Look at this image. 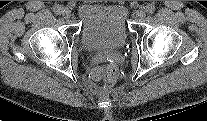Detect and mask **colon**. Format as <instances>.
<instances>
[{"label": "colon", "mask_w": 207, "mask_h": 121, "mask_svg": "<svg viewBox=\"0 0 207 121\" xmlns=\"http://www.w3.org/2000/svg\"><path fill=\"white\" fill-rule=\"evenodd\" d=\"M96 73L103 75L109 81H114L118 76V69L114 65H107L97 70Z\"/></svg>", "instance_id": "5ec220e1"}]
</instances>
